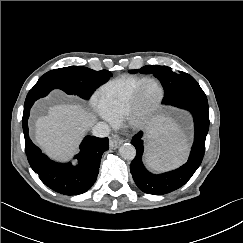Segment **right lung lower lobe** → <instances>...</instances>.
Here are the masks:
<instances>
[{
  "mask_svg": "<svg viewBox=\"0 0 243 243\" xmlns=\"http://www.w3.org/2000/svg\"><path fill=\"white\" fill-rule=\"evenodd\" d=\"M50 91L32 88L26 97L22 118L26 155L31 168L46 186L64 195L82 194L97 179L102 154L109 148L108 138L86 136L80 145V152L75 156L78 161L76 166L56 163L42 154L29 138L28 118L34 102Z\"/></svg>",
  "mask_w": 243,
  "mask_h": 243,
  "instance_id": "right-lung-lower-lobe-1",
  "label": "right lung lower lobe"
}]
</instances>
